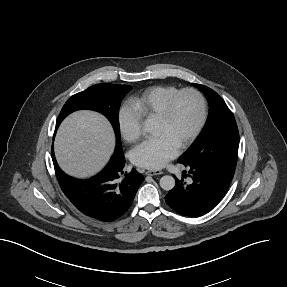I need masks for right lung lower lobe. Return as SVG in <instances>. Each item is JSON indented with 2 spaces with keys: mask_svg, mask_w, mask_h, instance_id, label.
<instances>
[{
  "mask_svg": "<svg viewBox=\"0 0 287 287\" xmlns=\"http://www.w3.org/2000/svg\"><path fill=\"white\" fill-rule=\"evenodd\" d=\"M52 160L60 187L66 197L83 214L110 222L121 217L131 206L144 178L135 169L123 174V151H115L107 166L96 176L80 180L65 174Z\"/></svg>",
  "mask_w": 287,
  "mask_h": 287,
  "instance_id": "right-lung-lower-lobe-1",
  "label": "right lung lower lobe"
}]
</instances>
